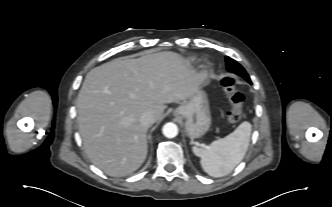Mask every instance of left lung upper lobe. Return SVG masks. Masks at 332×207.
<instances>
[{"instance_id": "1", "label": "left lung upper lobe", "mask_w": 332, "mask_h": 207, "mask_svg": "<svg viewBox=\"0 0 332 207\" xmlns=\"http://www.w3.org/2000/svg\"><path fill=\"white\" fill-rule=\"evenodd\" d=\"M226 67L229 72L235 73L243 77L249 83H251L250 78L246 73L245 69L239 63H237L235 60L231 59L228 56L226 57Z\"/></svg>"}]
</instances>
